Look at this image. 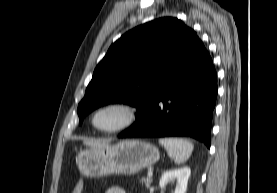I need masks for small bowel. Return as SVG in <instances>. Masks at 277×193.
<instances>
[{"label": "small bowel", "instance_id": "obj_1", "mask_svg": "<svg viewBox=\"0 0 277 193\" xmlns=\"http://www.w3.org/2000/svg\"><path fill=\"white\" fill-rule=\"evenodd\" d=\"M105 193H127L126 190L120 186H112L108 188Z\"/></svg>", "mask_w": 277, "mask_h": 193}]
</instances>
